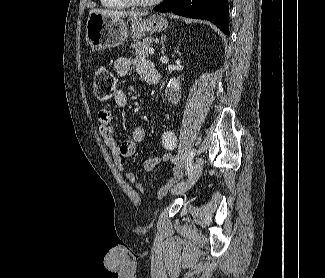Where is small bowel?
Wrapping results in <instances>:
<instances>
[{
	"instance_id": "obj_1",
	"label": "small bowel",
	"mask_w": 325,
	"mask_h": 278,
	"mask_svg": "<svg viewBox=\"0 0 325 278\" xmlns=\"http://www.w3.org/2000/svg\"><path fill=\"white\" fill-rule=\"evenodd\" d=\"M148 64V61H146L145 59H132L128 57H120L114 62V70L117 75L125 76L130 72L131 68L134 67L136 72L142 78H144L145 69ZM114 101L118 107L125 108L128 104V98L126 93L121 89L118 90L114 95ZM98 120L100 124V133L103 136L105 144L110 149L117 167L123 172L124 176L129 182L135 183V173L125 168L122 159L131 157L135 153L137 146L144 141V127L137 126L134 128L129 138L120 139L111 126L112 115L108 109L103 108L98 111ZM170 134L174 133L172 131H164L161 134L160 139ZM167 162L173 165V176L167 181V183L163 187L153 191V193L157 196L163 195L172 184H174L182 177V173L179 171L178 167L179 160L171 152H165L160 155L149 158L144 164L145 170L150 172L158 164ZM136 187L139 190H144V185L142 183H136Z\"/></svg>"
}]
</instances>
